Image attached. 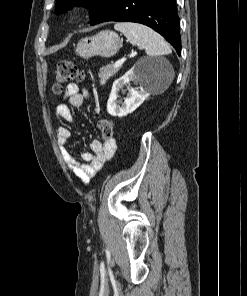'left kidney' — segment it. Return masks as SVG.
Returning <instances> with one entry per match:
<instances>
[{
	"mask_svg": "<svg viewBox=\"0 0 247 296\" xmlns=\"http://www.w3.org/2000/svg\"><path fill=\"white\" fill-rule=\"evenodd\" d=\"M162 64L140 60L124 76L114 81L107 102V112L112 116L123 117L135 111L150 96L148 87L162 70ZM130 81L140 85L139 90L129 86ZM128 85L127 97L124 102L118 101L119 91Z\"/></svg>",
	"mask_w": 247,
	"mask_h": 296,
	"instance_id": "1",
	"label": "left kidney"
}]
</instances>
